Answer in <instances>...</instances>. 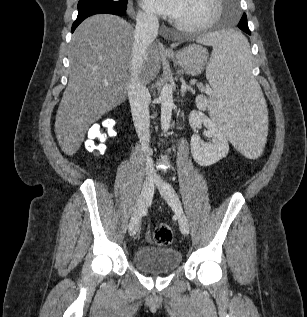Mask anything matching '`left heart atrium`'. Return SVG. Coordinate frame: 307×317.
<instances>
[{
  "label": "left heart atrium",
  "mask_w": 307,
  "mask_h": 317,
  "mask_svg": "<svg viewBox=\"0 0 307 317\" xmlns=\"http://www.w3.org/2000/svg\"><path fill=\"white\" fill-rule=\"evenodd\" d=\"M185 0H141L142 6L150 13L161 16H178Z\"/></svg>",
  "instance_id": "left-heart-atrium-1"
}]
</instances>
